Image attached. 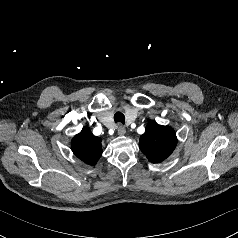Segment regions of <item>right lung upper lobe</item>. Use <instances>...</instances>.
Wrapping results in <instances>:
<instances>
[{
    "instance_id": "right-lung-upper-lobe-1",
    "label": "right lung upper lobe",
    "mask_w": 238,
    "mask_h": 238,
    "mask_svg": "<svg viewBox=\"0 0 238 238\" xmlns=\"http://www.w3.org/2000/svg\"><path fill=\"white\" fill-rule=\"evenodd\" d=\"M71 148L76 157L89 165H95L102 154L101 139L87 127L72 139Z\"/></svg>"
}]
</instances>
